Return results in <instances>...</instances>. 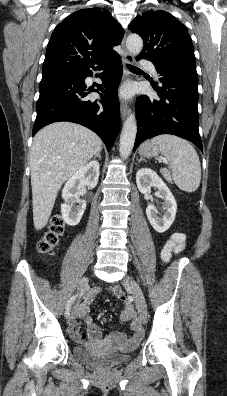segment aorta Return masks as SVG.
Segmentation results:
<instances>
[{
	"label": "aorta",
	"mask_w": 227,
	"mask_h": 396,
	"mask_svg": "<svg viewBox=\"0 0 227 396\" xmlns=\"http://www.w3.org/2000/svg\"><path fill=\"white\" fill-rule=\"evenodd\" d=\"M126 46L130 53L138 55L143 48V40L137 34H130L126 39ZM137 133V124L134 114H130L124 122L120 135L119 152L120 156L126 159L134 146Z\"/></svg>",
	"instance_id": "762f6f07"
}]
</instances>
